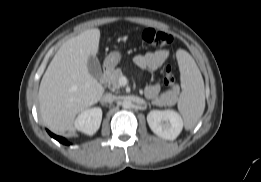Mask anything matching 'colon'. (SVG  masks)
Returning a JSON list of instances; mask_svg holds the SVG:
<instances>
[{
  "instance_id": "1",
  "label": "colon",
  "mask_w": 261,
  "mask_h": 182,
  "mask_svg": "<svg viewBox=\"0 0 261 182\" xmlns=\"http://www.w3.org/2000/svg\"><path fill=\"white\" fill-rule=\"evenodd\" d=\"M141 40L152 47H165L171 44L172 37L168 33L158 31L153 28H146L141 33ZM165 76H164V84L168 87L173 86L174 84V75L172 72V68L170 65L165 67Z\"/></svg>"
}]
</instances>
